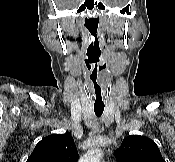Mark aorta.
I'll return each instance as SVG.
<instances>
[{"label": "aorta", "mask_w": 175, "mask_h": 162, "mask_svg": "<svg viewBox=\"0 0 175 162\" xmlns=\"http://www.w3.org/2000/svg\"><path fill=\"white\" fill-rule=\"evenodd\" d=\"M101 158L102 151L101 149L96 148L84 154L79 162H100Z\"/></svg>", "instance_id": "1"}]
</instances>
